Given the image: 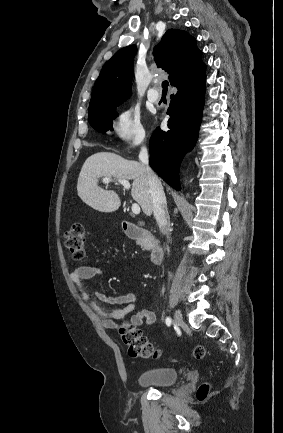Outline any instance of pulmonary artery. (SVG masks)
<instances>
[{
  "instance_id": "obj_1",
  "label": "pulmonary artery",
  "mask_w": 283,
  "mask_h": 433,
  "mask_svg": "<svg viewBox=\"0 0 283 433\" xmlns=\"http://www.w3.org/2000/svg\"><path fill=\"white\" fill-rule=\"evenodd\" d=\"M147 98L150 102L156 103V102L160 101L161 96L158 94H153V93L148 92Z\"/></svg>"
}]
</instances>
